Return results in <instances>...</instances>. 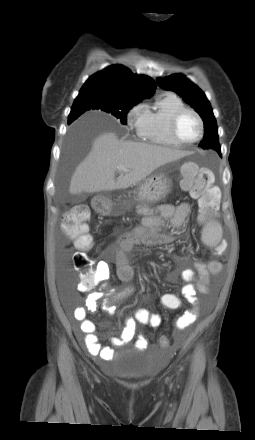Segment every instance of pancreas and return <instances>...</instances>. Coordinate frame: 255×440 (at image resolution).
Returning a JSON list of instances; mask_svg holds the SVG:
<instances>
[{"instance_id": "cf45deb5", "label": "pancreas", "mask_w": 255, "mask_h": 440, "mask_svg": "<svg viewBox=\"0 0 255 440\" xmlns=\"http://www.w3.org/2000/svg\"><path fill=\"white\" fill-rule=\"evenodd\" d=\"M136 209H137V213L139 215H151V214H153V209H151L149 207V205L146 204V203H141V204L137 205Z\"/></svg>"}]
</instances>
